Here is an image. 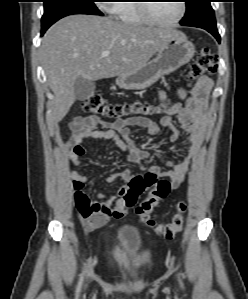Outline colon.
<instances>
[{
    "label": "colon",
    "mask_w": 248,
    "mask_h": 299,
    "mask_svg": "<svg viewBox=\"0 0 248 299\" xmlns=\"http://www.w3.org/2000/svg\"><path fill=\"white\" fill-rule=\"evenodd\" d=\"M216 70V55L208 49H200L191 66L188 81L193 82L202 76L212 75ZM83 110L91 115L123 119L131 115H152L163 110V105L143 102L110 103L99 93H91L83 104ZM148 189L151 190L150 195L137 207L136 213L147 227L171 239L184 228L187 204L184 201L179 202L172 220L165 224H158L150 215L172 190L168 180L159 178L156 173L151 171L135 175L129 180L121 194V198L124 205L130 208L136 205L138 197ZM75 210L77 215L82 217H89L95 213L90 205V197L80 190L75 192Z\"/></svg>",
    "instance_id": "colon-1"
}]
</instances>
